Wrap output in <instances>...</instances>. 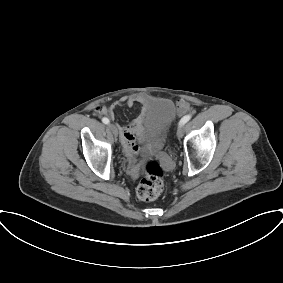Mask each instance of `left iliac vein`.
I'll return each mask as SVG.
<instances>
[{
    "instance_id": "1",
    "label": "left iliac vein",
    "mask_w": 283,
    "mask_h": 283,
    "mask_svg": "<svg viewBox=\"0 0 283 283\" xmlns=\"http://www.w3.org/2000/svg\"><path fill=\"white\" fill-rule=\"evenodd\" d=\"M184 134V128L183 125L179 126L178 130H177V136L178 138H182Z\"/></svg>"
}]
</instances>
